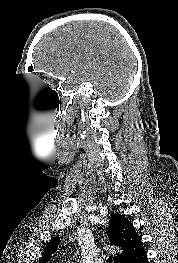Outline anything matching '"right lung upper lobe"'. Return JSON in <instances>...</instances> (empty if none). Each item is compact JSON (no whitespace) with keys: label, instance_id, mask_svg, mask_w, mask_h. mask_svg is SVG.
Returning <instances> with one entry per match:
<instances>
[{"label":"right lung upper lobe","instance_id":"obj_1","mask_svg":"<svg viewBox=\"0 0 178 263\" xmlns=\"http://www.w3.org/2000/svg\"><path fill=\"white\" fill-rule=\"evenodd\" d=\"M107 235L110 242L120 249V252L114 255V263H130L144 250L140 236L124 215L118 213L111 215ZM59 243V236L54 237L44 248L39 263H47L56 252Z\"/></svg>","mask_w":178,"mask_h":263}]
</instances>
